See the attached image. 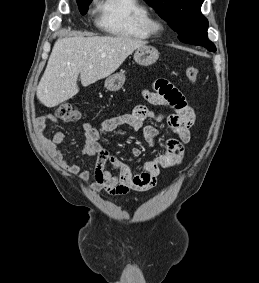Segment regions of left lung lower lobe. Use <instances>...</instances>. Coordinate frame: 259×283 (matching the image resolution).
Returning <instances> with one entry per match:
<instances>
[{"label": "left lung lower lobe", "mask_w": 259, "mask_h": 283, "mask_svg": "<svg viewBox=\"0 0 259 283\" xmlns=\"http://www.w3.org/2000/svg\"><path fill=\"white\" fill-rule=\"evenodd\" d=\"M204 47H206L209 51H212V52L216 51V47L214 46V44L208 45V46H204Z\"/></svg>", "instance_id": "left-lung-lower-lobe-1"}]
</instances>
